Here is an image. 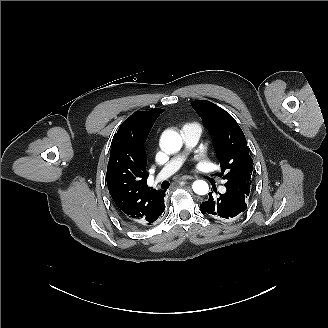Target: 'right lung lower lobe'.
I'll return each mask as SVG.
<instances>
[{
	"label": "right lung lower lobe",
	"mask_w": 328,
	"mask_h": 328,
	"mask_svg": "<svg viewBox=\"0 0 328 328\" xmlns=\"http://www.w3.org/2000/svg\"><path fill=\"white\" fill-rule=\"evenodd\" d=\"M164 196H165V192L162 193V195L160 196V199L158 201V205H157V210H156V213H155V216L153 217V221L152 223L148 222L144 225H140V226H136L137 228H140V227H148L150 225H153L155 224L161 217V215L163 214L164 212V209H165V205H164ZM122 218V217H121ZM126 224H128L129 226H133L135 227L134 225H130L129 223H127L125 221V219H122Z\"/></svg>",
	"instance_id": "right-lung-lower-lobe-1"
}]
</instances>
